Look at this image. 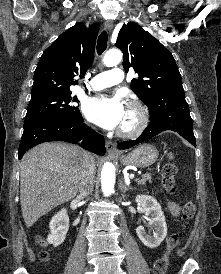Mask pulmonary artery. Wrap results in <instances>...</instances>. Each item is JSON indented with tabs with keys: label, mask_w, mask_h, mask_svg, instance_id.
Listing matches in <instances>:
<instances>
[{
	"label": "pulmonary artery",
	"mask_w": 221,
	"mask_h": 274,
	"mask_svg": "<svg viewBox=\"0 0 221 274\" xmlns=\"http://www.w3.org/2000/svg\"><path fill=\"white\" fill-rule=\"evenodd\" d=\"M123 80V72L119 68H113L94 76L88 85V89L92 91L102 90L107 87L119 84Z\"/></svg>",
	"instance_id": "pulmonary-artery-1"
}]
</instances>
